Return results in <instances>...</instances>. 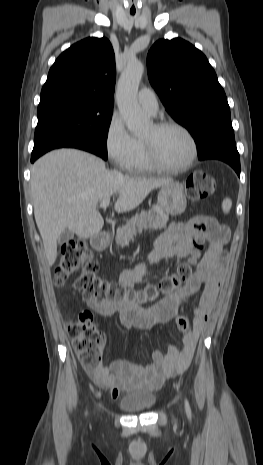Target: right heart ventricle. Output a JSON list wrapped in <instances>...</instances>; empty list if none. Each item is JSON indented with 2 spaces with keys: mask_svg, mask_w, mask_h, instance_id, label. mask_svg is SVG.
Segmentation results:
<instances>
[{
  "mask_svg": "<svg viewBox=\"0 0 263 465\" xmlns=\"http://www.w3.org/2000/svg\"><path fill=\"white\" fill-rule=\"evenodd\" d=\"M135 140H136V154L128 169L133 172H139V173L149 172V171L154 170L152 165L147 160L141 139H135Z\"/></svg>",
  "mask_w": 263,
  "mask_h": 465,
  "instance_id": "right-heart-ventricle-1",
  "label": "right heart ventricle"
}]
</instances>
